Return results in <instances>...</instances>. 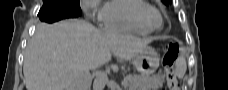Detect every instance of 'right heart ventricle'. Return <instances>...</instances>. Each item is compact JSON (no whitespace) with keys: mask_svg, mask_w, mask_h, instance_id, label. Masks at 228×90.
<instances>
[{"mask_svg":"<svg viewBox=\"0 0 228 90\" xmlns=\"http://www.w3.org/2000/svg\"><path fill=\"white\" fill-rule=\"evenodd\" d=\"M150 4L144 0H110L102 9L103 26L109 30L146 35L150 30L140 20V12Z\"/></svg>","mask_w":228,"mask_h":90,"instance_id":"1","label":"right heart ventricle"}]
</instances>
